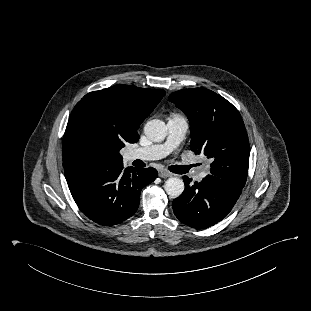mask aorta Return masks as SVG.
Instances as JSON below:
<instances>
[{
  "label": "aorta",
  "instance_id": "1",
  "mask_svg": "<svg viewBox=\"0 0 311 311\" xmlns=\"http://www.w3.org/2000/svg\"><path fill=\"white\" fill-rule=\"evenodd\" d=\"M144 133L153 142H161L167 135V127L162 120L153 119L144 127ZM164 189L171 197H179L184 191V182L178 177H170L166 180Z\"/></svg>",
  "mask_w": 311,
  "mask_h": 311
}]
</instances>
